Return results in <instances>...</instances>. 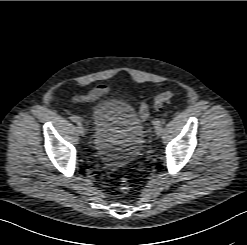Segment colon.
I'll return each mask as SVG.
<instances>
[{
    "label": "colon",
    "mask_w": 247,
    "mask_h": 245,
    "mask_svg": "<svg viewBox=\"0 0 247 245\" xmlns=\"http://www.w3.org/2000/svg\"><path fill=\"white\" fill-rule=\"evenodd\" d=\"M174 93L171 90H167L154 98V105L157 109H160L162 105L169 101L173 97ZM130 182L127 177H121L119 180V189L122 193H128L130 191Z\"/></svg>",
    "instance_id": "1"
}]
</instances>
